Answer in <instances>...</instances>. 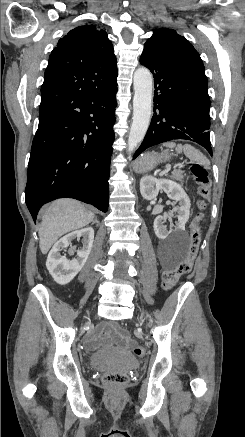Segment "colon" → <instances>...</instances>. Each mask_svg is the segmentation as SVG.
I'll return each instance as SVG.
<instances>
[{
    "label": "colon",
    "instance_id": "1",
    "mask_svg": "<svg viewBox=\"0 0 245 437\" xmlns=\"http://www.w3.org/2000/svg\"><path fill=\"white\" fill-rule=\"evenodd\" d=\"M191 173L198 185V195L200 200L198 201V208L202 211L206 208V199L208 198L210 191V177L207 168L201 164L195 163L191 167ZM203 217L202 212L197 215V225L191 230L189 248L185 258L174 268L167 269L162 274V286L165 290L172 289L178 282L179 278L190 272L193 266V262L197 256L201 234L199 222ZM133 353L142 357L145 354V349L142 346L135 345L132 348ZM103 381L110 386H122L127 382V376L121 372L107 373L103 376Z\"/></svg>",
    "mask_w": 245,
    "mask_h": 437
}]
</instances>
